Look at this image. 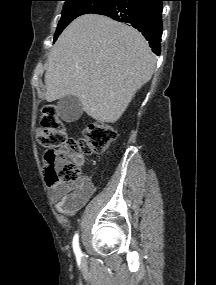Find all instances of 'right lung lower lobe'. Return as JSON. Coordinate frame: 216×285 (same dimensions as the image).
<instances>
[{
	"label": "right lung lower lobe",
	"instance_id": "obj_1",
	"mask_svg": "<svg viewBox=\"0 0 216 285\" xmlns=\"http://www.w3.org/2000/svg\"><path fill=\"white\" fill-rule=\"evenodd\" d=\"M162 1L165 0H115L94 14L105 15L131 24L148 40L152 51L160 54L162 35Z\"/></svg>",
	"mask_w": 216,
	"mask_h": 285
}]
</instances>
